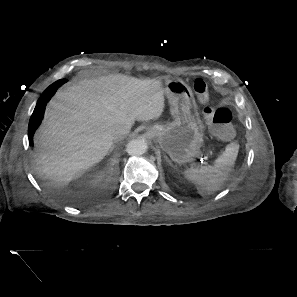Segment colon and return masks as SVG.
I'll list each match as a JSON object with an SVG mask.
<instances>
[{"label": "colon", "instance_id": "obj_1", "mask_svg": "<svg viewBox=\"0 0 297 297\" xmlns=\"http://www.w3.org/2000/svg\"><path fill=\"white\" fill-rule=\"evenodd\" d=\"M193 89L200 103L204 106V115L210 123L213 134L222 140L230 139L234 134L230 110L225 107L213 108L209 105L210 95L208 86L203 79H195Z\"/></svg>", "mask_w": 297, "mask_h": 297}]
</instances>
